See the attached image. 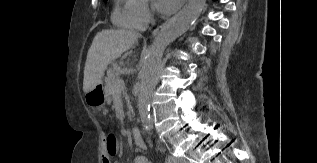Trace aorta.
<instances>
[{
  "label": "aorta",
  "mask_w": 317,
  "mask_h": 163,
  "mask_svg": "<svg viewBox=\"0 0 317 163\" xmlns=\"http://www.w3.org/2000/svg\"><path fill=\"white\" fill-rule=\"evenodd\" d=\"M206 0H190L186 10L170 20L151 44L140 69L138 111L144 126L150 125V99L157 80V72L166 47L184 34L200 16Z\"/></svg>",
  "instance_id": "obj_1"
}]
</instances>
